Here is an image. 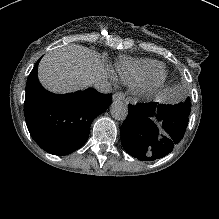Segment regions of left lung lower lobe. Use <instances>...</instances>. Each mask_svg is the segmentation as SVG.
Instances as JSON below:
<instances>
[{"label":"left lung lower lobe","mask_w":219,"mask_h":219,"mask_svg":"<svg viewBox=\"0 0 219 219\" xmlns=\"http://www.w3.org/2000/svg\"><path fill=\"white\" fill-rule=\"evenodd\" d=\"M156 103L128 105L129 113L121 126V142L130 155L140 160H155L170 153L185 133L190 113L173 105H158L157 118L152 115Z\"/></svg>","instance_id":"left-lung-lower-lobe-1"}]
</instances>
